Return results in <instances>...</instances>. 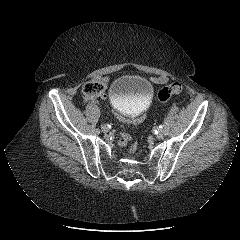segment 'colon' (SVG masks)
Wrapping results in <instances>:
<instances>
[{
	"label": "colon",
	"mask_w": 240,
	"mask_h": 240,
	"mask_svg": "<svg viewBox=\"0 0 240 240\" xmlns=\"http://www.w3.org/2000/svg\"><path fill=\"white\" fill-rule=\"evenodd\" d=\"M183 90L182 84L174 82L163 87L158 92V100L161 103L168 101L173 95L181 93ZM84 94L89 98H98L105 92V83L103 80L96 79L87 82L83 88Z\"/></svg>",
	"instance_id": "colon-1"
}]
</instances>
